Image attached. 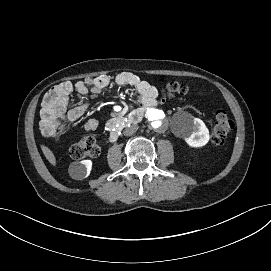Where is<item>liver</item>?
<instances>
[{"label": "liver", "mask_w": 271, "mask_h": 271, "mask_svg": "<svg viewBox=\"0 0 271 271\" xmlns=\"http://www.w3.org/2000/svg\"><path fill=\"white\" fill-rule=\"evenodd\" d=\"M43 153L45 154L46 158L49 160L50 163H55V158L49 149L43 147Z\"/></svg>", "instance_id": "liver-1"}]
</instances>
